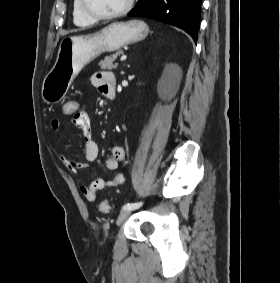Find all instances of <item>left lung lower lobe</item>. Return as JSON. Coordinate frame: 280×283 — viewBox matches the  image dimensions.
Masks as SVG:
<instances>
[{
	"instance_id": "0a47b994",
	"label": "left lung lower lobe",
	"mask_w": 280,
	"mask_h": 283,
	"mask_svg": "<svg viewBox=\"0 0 280 283\" xmlns=\"http://www.w3.org/2000/svg\"><path fill=\"white\" fill-rule=\"evenodd\" d=\"M202 0H138L128 16L147 17L186 31L197 41Z\"/></svg>"
}]
</instances>
